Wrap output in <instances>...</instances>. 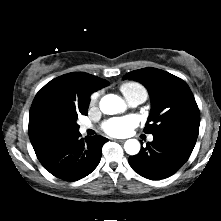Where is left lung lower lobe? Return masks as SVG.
Returning <instances> with one entry per match:
<instances>
[{
  "instance_id": "obj_1",
  "label": "left lung lower lobe",
  "mask_w": 221,
  "mask_h": 221,
  "mask_svg": "<svg viewBox=\"0 0 221 221\" xmlns=\"http://www.w3.org/2000/svg\"><path fill=\"white\" fill-rule=\"evenodd\" d=\"M146 148L129 157L135 172L151 180H161L174 174L189 159L195 138L177 131H166L153 135Z\"/></svg>"
}]
</instances>
